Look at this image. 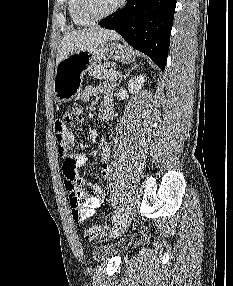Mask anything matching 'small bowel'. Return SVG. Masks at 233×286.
<instances>
[{
	"instance_id": "1",
	"label": "small bowel",
	"mask_w": 233,
	"mask_h": 286,
	"mask_svg": "<svg viewBox=\"0 0 233 286\" xmlns=\"http://www.w3.org/2000/svg\"><path fill=\"white\" fill-rule=\"evenodd\" d=\"M112 86L101 84L99 86H87L81 94L82 101L90 100L94 95L103 96V102L99 109V117L102 119H111L114 114L113 99L111 96ZM57 149L62 159V173L64 185L69 193L74 192L81 200V206L73 207L71 204V213L75 221L83 222L95 214L101 200L105 196L104 190L83 180L78 175V168L85 165L87 156L84 153H70L68 146L75 141L73 133L60 121L54 125ZM101 158V176L106 179L110 175V147L108 143L103 142L99 148Z\"/></svg>"
}]
</instances>
